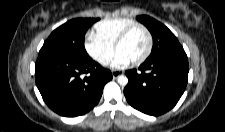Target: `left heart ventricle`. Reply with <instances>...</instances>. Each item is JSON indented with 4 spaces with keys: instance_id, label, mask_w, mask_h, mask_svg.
I'll return each instance as SVG.
<instances>
[{
    "instance_id": "b2bd125f",
    "label": "left heart ventricle",
    "mask_w": 225,
    "mask_h": 132,
    "mask_svg": "<svg viewBox=\"0 0 225 132\" xmlns=\"http://www.w3.org/2000/svg\"><path fill=\"white\" fill-rule=\"evenodd\" d=\"M147 45L148 39L145 32L137 29L120 45L118 52L124 54L131 62L145 53Z\"/></svg>"
}]
</instances>
